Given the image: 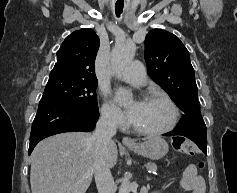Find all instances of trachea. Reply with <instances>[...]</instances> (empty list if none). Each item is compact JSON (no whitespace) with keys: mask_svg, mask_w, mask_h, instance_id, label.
I'll return each mask as SVG.
<instances>
[{"mask_svg":"<svg viewBox=\"0 0 237 193\" xmlns=\"http://www.w3.org/2000/svg\"><path fill=\"white\" fill-rule=\"evenodd\" d=\"M122 11H123V6H115V13H116L117 17L120 16Z\"/></svg>","mask_w":237,"mask_h":193,"instance_id":"obj_1","label":"trachea"}]
</instances>
